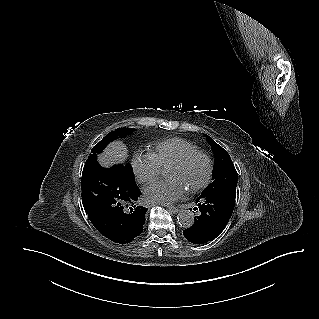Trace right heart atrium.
<instances>
[{"label": "right heart atrium", "mask_w": 319, "mask_h": 319, "mask_svg": "<svg viewBox=\"0 0 319 319\" xmlns=\"http://www.w3.org/2000/svg\"><path fill=\"white\" fill-rule=\"evenodd\" d=\"M131 165L134 176L140 184L152 183L161 173V167L151 153H135Z\"/></svg>", "instance_id": "obj_1"}]
</instances>
